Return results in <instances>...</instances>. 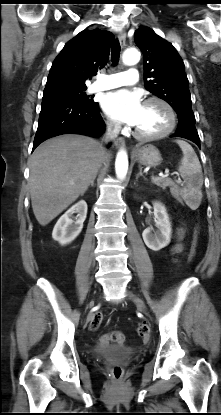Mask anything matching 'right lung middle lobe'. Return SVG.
<instances>
[{
  "instance_id": "dd1d6c3e",
  "label": "right lung middle lobe",
  "mask_w": 221,
  "mask_h": 415,
  "mask_svg": "<svg viewBox=\"0 0 221 415\" xmlns=\"http://www.w3.org/2000/svg\"><path fill=\"white\" fill-rule=\"evenodd\" d=\"M86 88L83 89H72V90H64L58 92H52L43 96V99H51V98H58V99H67L75 102L85 103V104H96L85 94Z\"/></svg>"
}]
</instances>
